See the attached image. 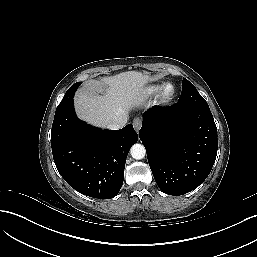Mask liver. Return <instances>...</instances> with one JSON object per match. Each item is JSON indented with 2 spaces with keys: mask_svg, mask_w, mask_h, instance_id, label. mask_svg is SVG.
<instances>
[{
  "mask_svg": "<svg viewBox=\"0 0 257 257\" xmlns=\"http://www.w3.org/2000/svg\"><path fill=\"white\" fill-rule=\"evenodd\" d=\"M147 81L148 76L137 71L104 77L96 82V86L105 93L80 92L74 99L76 112L81 119L95 126L106 127L116 121L120 114H127L133 99Z\"/></svg>",
  "mask_w": 257,
  "mask_h": 257,
  "instance_id": "liver-1",
  "label": "liver"
}]
</instances>
